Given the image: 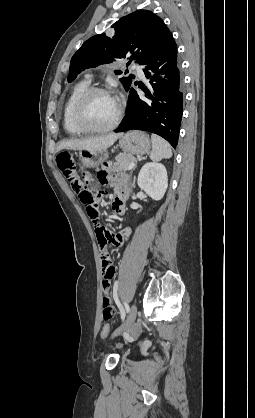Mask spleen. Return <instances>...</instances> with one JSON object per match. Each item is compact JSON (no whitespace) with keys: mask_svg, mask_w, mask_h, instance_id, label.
<instances>
[{"mask_svg":"<svg viewBox=\"0 0 255 418\" xmlns=\"http://www.w3.org/2000/svg\"><path fill=\"white\" fill-rule=\"evenodd\" d=\"M152 151L150 159L152 161H160L162 159H169L172 157V149L170 144L162 137L152 134Z\"/></svg>","mask_w":255,"mask_h":418,"instance_id":"1","label":"spleen"}]
</instances>
